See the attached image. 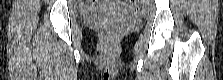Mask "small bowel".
Returning a JSON list of instances; mask_svg holds the SVG:
<instances>
[{"label":"small bowel","instance_id":"1","mask_svg":"<svg viewBox=\"0 0 223 80\" xmlns=\"http://www.w3.org/2000/svg\"><path fill=\"white\" fill-rule=\"evenodd\" d=\"M98 5L96 4V3H88L87 5H86V9H88V10H94L96 7H97Z\"/></svg>","mask_w":223,"mask_h":80}]
</instances>
